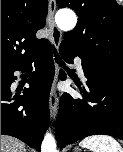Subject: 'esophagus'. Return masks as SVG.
<instances>
[{"mask_svg":"<svg viewBox=\"0 0 123 152\" xmlns=\"http://www.w3.org/2000/svg\"><path fill=\"white\" fill-rule=\"evenodd\" d=\"M55 11H56V0H49L48 20L52 31L51 39L55 49L58 50L62 40V32L55 24V20H54ZM58 75H59V67L57 64H55V74L49 95V109L52 120L55 119L57 115L58 103H59V93L57 92L56 89Z\"/></svg>","mask_w":123,"mask_h":152,"instance_id":"34e87169","label":"esophagus"}]
</instances>
